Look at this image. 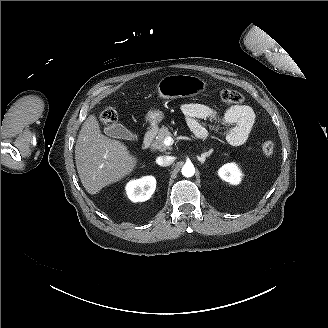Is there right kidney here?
Returning a JSON list of instances; mask_svg holds the SVG:
<instances>
[{
    "instance_id": "obj_1",
    "label": "right kidney",
    "mask_w": 328,
    "mask_h": 328,
    "mask_svg": "<svg viewBox=\"0 0 328 328\" xmlns=\"http://www.w3.org/2000/svg\"><path fill=\"white\" fill-rule=\"evenodd\" d=\"M156 189V179L153 176H144L140 179L130 180L126 186V194L132 202L148 200Z\"/></svg>"
}]
</instances>
